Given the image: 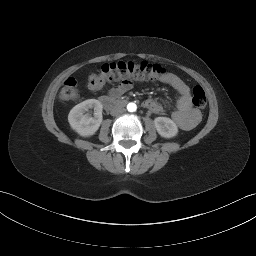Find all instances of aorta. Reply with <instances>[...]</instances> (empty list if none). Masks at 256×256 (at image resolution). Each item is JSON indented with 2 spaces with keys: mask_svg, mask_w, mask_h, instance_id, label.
<instances>
[{
  "mask_svg": "<svg viewBox=\"0 0 256 256\" xmlns=\"http://www.w3.org/2000/svg\"><path fill=\"white\" fill-rule=\"evenodd\" d=\"M127 110L129 112H135L137 110V105L135 103H128Z\"/></svg>",
  "mask_w": 256,
  "mask_h": 256,
  "instance_id": "1",
  "label": "aorta"
}]
</instances>
